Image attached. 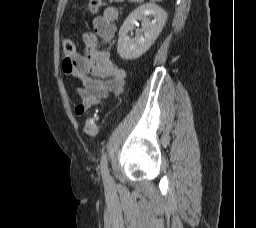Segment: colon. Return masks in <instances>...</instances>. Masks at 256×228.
Wrapping results in <instances>:
<instances>
[{"label": "colon", "mask_w": 256, "mask_h": 228, "mask_svg": "<svg viewBox=\"0 0 256 228\" xmlns=\"http://www.w3.org/2000/svg\"><path fill=\"white\" fill-rule=\"evenodd\" d=\"M123 0H89L88 9L94 14L96 13L102 6L109 4L111 2H121ZM62 48L66 57L72 58L75 56L77 50L74 43L70 39L62 40ZM84 131L88 136L94 137L98 134V125H97V115L91 114L86 118Z\"/></svg>", "instance_id": "1"}]
</instances>
